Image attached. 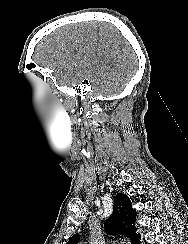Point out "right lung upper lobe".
Instances as JSON below:
<instances>
[{"mask_svg":"<svg viewBox=\"0 0 188 244\" xmlns=\"http://www.w3.org/2000/svg\"><path fill=\"white\" fill-rule=\"evenodd\" d=\"M136 210L132 208L129 198L121 193H118L114 198L113 213L105 221V231L108 235H124L128 237L132 244L140 237L136 234L135 227ZM79 234L73 235L67 244H77Z\"/></svg>","mask_w":188,"mask_h":244,"instance_id":"obj_1","label":"right lung upper lobe"}]
</instances>
